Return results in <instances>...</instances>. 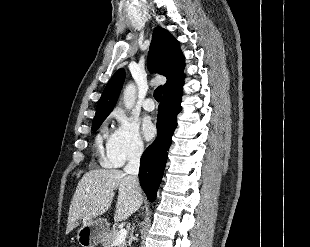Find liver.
<instances>
[{
	"instance_id": "6515ba94",
	"label": "liver",
	"mask_w": 310,
	"mask_h": 247,
	"mask_svg": "<svg viewBox=\"0 0 310 247\" xmlns=\"http://www.w3.org/2000/svg\"><path fill=\"white\" fill-rule=\"evenodd\" d=\"M118 188L114 220H126L143 202L142 190L134 186L132 178L117 169H94L79 181L71 200L66 232H71L79 221H89L104 214L111 206Z\"/></svg>"
}]
</instances>
